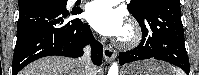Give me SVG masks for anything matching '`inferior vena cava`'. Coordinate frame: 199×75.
Wrapping results in <instances>:
<instances>
[{"mask_svg": "<svg viewBox=\"0 0 199 75\" xmlns=\"http://www.w3.org/2000/svg\"><path fill=\"white\" fill-rule=\"evenodd\" d=\"M89 56H90V48H89V46H86L84 48V55L79 59V61L84 66V74L85 75H94L95 67L93 66Z\"/></svg>", "mask_w": 199, "mask_h": 75, "instance_id": "obj_1", "label": "inferior vena cava"}]
</instances>
